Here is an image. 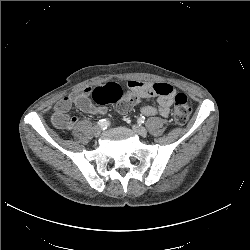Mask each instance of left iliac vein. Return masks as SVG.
<instances>
[{
  "label": "left iliac vein",
  "instance_id": "obj_1",
  "mask_svg": "<svg viewBox=\"0 0 250 250\" xmlns=\"http://www.w3.org/2000/svg\"><path fill=\"white\" fill-rule=\"evenodd\" d=\"M132 129L135 133H137L140 136H146L147 135V130L139 125H133Z\"/></svg>",
  "mask_w": 250,
  "mask_h": 250
}]
</instances>
